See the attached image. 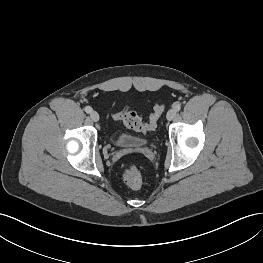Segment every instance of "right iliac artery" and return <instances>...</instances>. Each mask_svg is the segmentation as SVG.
<instances>
[{"label":"right iliac artery","instance_id":"obj_1","mask_svg":"<svg viewBox=\"0 0 263 263\" xmlns=\"http://www.w3.org/2000/svg\"><path fill=\"white\" fill-rule=\"evenodd\" d=\"M85 112L86 113H91L92 112V108L89 107V106L85 107Z\"/></svg>","mask_w":263,"mask_h":263}]
</instances>
